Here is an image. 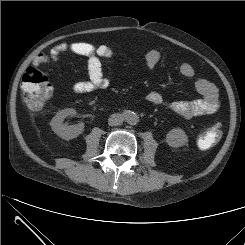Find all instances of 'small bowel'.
Listing matches in <instances>:
<instances>
[{"label": "small bowel", "instance_id": "1", "mask_svg": "<svg viewBox=\"0 0 245 245\" xmlns=\"http://www.w3.org/2000/svg\"><path fill=\"white\" fill-rule=\"evenodd\" d=\"M64 53L83 56L87 61L88 80L75 83L72 87L73 92L77 94L85 93L95 89L107 88L110 85V80L102 71V59L113 56V50L106 45L94 46L86 42H62L52 47L49 51L40 53L35 58L34 64L50 63L58 65L60 56ZM160 59L161 52L153 49L147 52L145 63L148 68L153 69ZM179 72L187 79L195 78V70L189 63H182L179 66ZM195 88L199 98L191 101L165 103L161 95L156 92H151L148 95V101L154 105L163 106L165 109L185 119L215 112L220 106L216 86L207 79L195 78Z\"/></svg>", "mask_w": 245, "mask_h": 245}]
</instances>
